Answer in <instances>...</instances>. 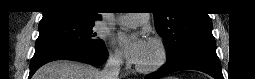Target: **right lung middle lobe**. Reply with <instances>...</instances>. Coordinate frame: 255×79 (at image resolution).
Returning a JSON list of instances; mask_svg holds the SVG:
<instances>
[{
	"label": "right lung middle lobe",
	"mask_w": 255,
	"mask_h": 79,
	"mask_svg": "<svg viewBox=\"0 0 255 79\" xmlns=\"http://www.w3.org/2000/svg\"><path fill=\"white\" fill-rule=\"evenodd\" d=\"M94 24L93 21L73 18L41 20L39 24L40 34L36 40L35 48L49 45L99 47L104 42L95 37L96 34L92 31Z\"/></svg>",
	"instance_id": "dd1d6c3e"
}]
</instances>
